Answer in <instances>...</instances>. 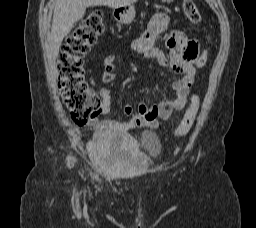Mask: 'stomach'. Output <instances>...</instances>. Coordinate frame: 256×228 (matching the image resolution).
<instances>
[{"instance_id": "stomach-1", "label": "stomach", "mask_w": 256, "mask_h": 228, "mask_svg": "<svg viewBox=\"0 0 256 228\" xmlns=\"http://www.w3.org/2000/svg\"><path fill=\"white\" fill-rule=\"evenodd\" d=\"M162 1L170 3L173 0H162ZM114 17L117 21L121 23H125V24L131 23L135 18V9L131 5H128L122 8H117L114 11Z\"/></svg>"}]
</instances>
